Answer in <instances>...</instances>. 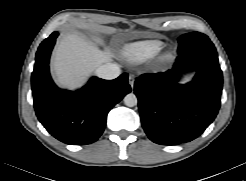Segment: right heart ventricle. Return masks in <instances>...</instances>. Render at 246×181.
<instances>
[{
  "label": "right heart ventricle",
  "mask_w": 246,
  "mask_h": 181,
  "mask_svg": "<svg viewBox=\"0 0 246 181\" xmlns=\"http://www.w3.org/2000/svg\"><path fill=\"white\" fill-rule=\"evenodd\" d=\"M162 47L159 40L140 41L127 47L124 56L132 63H141L157 56Z\"/></svg>",
  "instance_id": "e07e8e85"
}]
</instances>
